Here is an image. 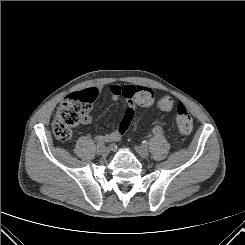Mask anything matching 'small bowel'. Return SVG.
I'll list each match as a JSON object with an SVG mask.
<instances>
[{
    "mask_svg": "<svg viewBox=\"0 0 245 245\" xmlns=\"http://www.w3.org/2000/svg\"><path fill=\"white\" fill-rule=\"evenodd\" d=\"M140 86H134L131 84L127 85H119V84H111L109 87L111 99L113 101L118 100L119 98L123 97L127 101V109L124 112V115L122 117V120L118 126L117 129L114 131L106 134V135H99L96 137V140L103 141V142H116L120 140V138L123 136V134L126 132L128 127L130 126L134 115H135V109L137 106V102L135 100V91ZM156 106L161 111H170L173 109L175 105V100L170 95H162L159 94L155 98ZM92 122V117L90 115H86L83 118L82 123L88 124Z\"/></svg>",
    "mask_w": 245,
    "mask_h": 245,
    "instance_id": "1",
    "label": "small bowel"
}]
</instances>
